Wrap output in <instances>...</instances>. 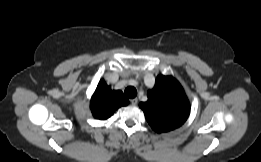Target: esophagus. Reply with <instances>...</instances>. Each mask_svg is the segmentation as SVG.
Returning a JSON list of instances; mask_svg holds the SVG:
<instances>
[{"label":"esophagus","instance_id":"esophagus-1","mask_svg":"<svg viewBox=\"0 0 261 162\" xmlns=\"http://www.w3.org/2000/svg\"><path fill=\"white\" fill-rule=\"evenodd\" d=\"M130 102L132 105H137L138 99L137 98L131 99Z\"/></svg>","mask_w":261,"mask_h":162}]
</instances>
